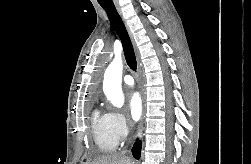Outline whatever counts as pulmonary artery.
Masks as SVG:
<instances>
[{
    "label": "pulmonary artery",
    "mask_w": 251,
    "mask_h": 164,
    "mask_svg": "<svg viewBox=\"0 0 251 164\" xmlns=\"http://www.w3.org/2000/svg\"><path fill=\"white\" fill-rule=\"evenodd\" d=\"M123 82L128 86H132L134 84V79L131 75H125L123 77Z\"/></svg>",
    "instance_id": "1"
}]
</instances>
